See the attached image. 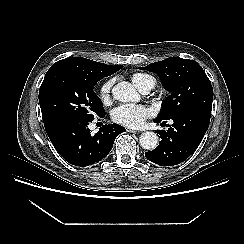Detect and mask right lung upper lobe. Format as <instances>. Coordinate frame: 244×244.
Listing matches in <instances>:
<instances>
[{"label":"right lung upper lobe","mask_w":244,"mask_h":244,"mask_svg":"<svg viewBox=\"0 0 244 244\" xmlns=\"http://www.w3.org/2000/svg\"><path fill=\"white\" fill-rule=\"evenodd\" d=\"M120 65L111 66L82 57H71L54 63L51 67H61L92 79H102L119 70Z\"/></svg>","instance_id":"obj_1"}]
</instances>
